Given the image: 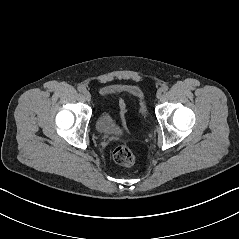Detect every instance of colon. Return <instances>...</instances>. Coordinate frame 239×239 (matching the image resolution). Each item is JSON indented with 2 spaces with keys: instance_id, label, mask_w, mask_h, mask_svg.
<instances>
[{
  "instance_id": "obj_1",
  "label": "colon",
  "mask_w": 239,
  "mask_h": 239,
  "mask_svg": "<svg viewBox=\"0 0 239 239\" xmlns=\"http://www.w3.org/2000/svg\"><path fill=\"white\" fill-rule=\"evenodd\" d=\"M126 112H127V106L124 101H120V114L122 123L125 128H127L126 123ZM113 159L114 161L122 166H132L134 165L136 158L132 150L124 145H120L114 148L113 150Z\"/></svg>"
}]
</instances>
